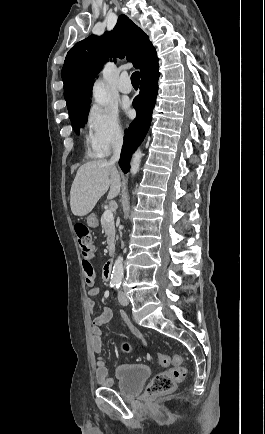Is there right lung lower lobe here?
<instances>
[{"instance_id":"98d812e1","label":"right lung lower lobe","mask_w":265,"mask_h":434,"mask_svg":"<svg viewBox=\"0 0 265 434\" xmlns=\"http://www.w3.org/2000/svg\"><path fill=\"white\" fill-rule=\"evenodd\" d=\"M140 94L134 99L133 106L137 116L130 124L121 152L119 165L124 173L129 171V161L132 152L144 139L151 123V114L158 91V58L155 56L146 60L141 68Z\"/></svg>"}]
</instances>
